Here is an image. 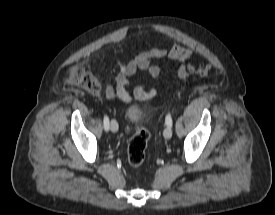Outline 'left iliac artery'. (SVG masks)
Listing matches in <instances>:
<instances>
[{
    "label": "left iliac artery",
    "mask_w": 275,
    "mask_h": 215,
    "mask_svg": "<svg viewBox=\"0 0 275 215\" xmlns=\"http://www.w3.org/2000/svg\"><path fill=\"white\" fill-rule=\"evenodd\" d=\"M166 124H167L168 126H172V118H171V115H170V114H168V115L166 116Z\"/></svg>",
    "instance_id": "44dca946"
}]
</instances>
